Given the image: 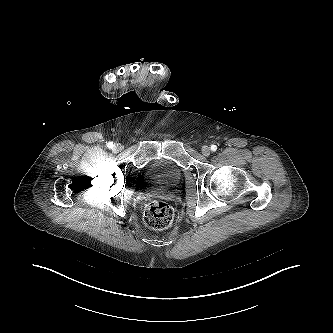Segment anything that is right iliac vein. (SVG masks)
<instances>
[{"instance_id":"63e3f726","label":"right iliac vein","mask_w":333,"mask_h":333,"mask_svg":"<svg viewBox=\"0 0 333 333\" xmlns=\"http://www.w3.org/2000/svg\"><path fill=\"white\" fill-rule=\"evenodd\" d=\"M121 149H122V146H121L120 144H116V145L114 146V148H113V150H114L115 152H119V151H121Z\"/></svg>"}]
</instances>
